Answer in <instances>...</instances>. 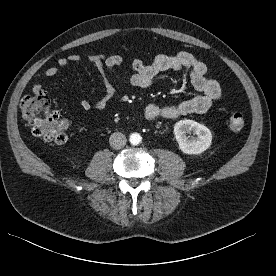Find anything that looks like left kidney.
I'll use <instances>...</instances> for the list:
<instances>
[{"label":"left kidney","instance_id":"left-kidney-1","mask_svg":"<svg viewBox=\"0 0 276 276\" xmlns=\"http://www.w3.org/2000/svg\"><path fill=\"white\" fill-rule=\"evenodd\" d=\"M193 132L197 137L189 138L187 133ZM174 135L179 144V149L188 155H196L207 150L212 142L210 130L193 120H180L174 126Z\"/></svg>","mask_w":276,"mask_h":276}]
</instances>
